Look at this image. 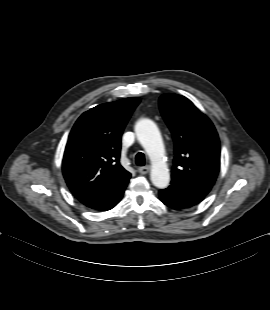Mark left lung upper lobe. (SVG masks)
I'll list each match as a JSON object with an SVG mask.
<instances>
[{"instance_id": "left-lung-upper-lobe-1", "label": "left lung upper lobe", "mask_w": 270, "mask_h": 310, "mask_svg": "<svg viewBox=\"0 0 270 310\" xmlns=\"http://www.w3.org/2000/svg\"><path fill=\"white\" fill-rule=\"evenodd\" d=\"M159 107L175 143L172 179L211 189L220 169V142L212 122L177 94L162 95Z\"/></svg>"}]
</instances>
